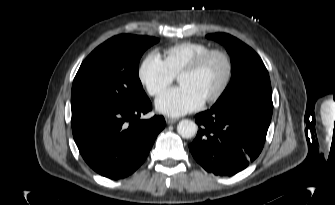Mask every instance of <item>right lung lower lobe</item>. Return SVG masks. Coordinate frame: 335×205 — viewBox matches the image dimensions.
Instances as JSON below:
<instances>
[{
    "label": "right lung lower lobe",
    "mask_w": 335,
    "mask_h": 205,
    "mask_svg": "<svg viewBox=\"0 0 335 205\" xmlns=\"http://www.w3.org/2000/svg\"><path fill=\"white\" fill-rule=\"evenodd\" d=\"M152 109L146 96L127 106H88L72 110L75 143L86 163L111 179L132 174L146 159L165 127L163 116L140 119Z\"/></svg>",
    "instance_id": "obj_1"
}]
</instances>
